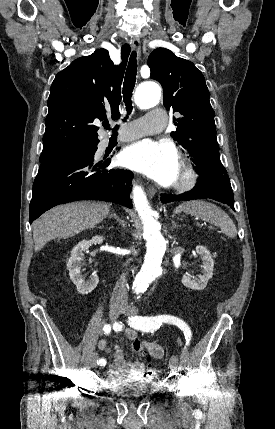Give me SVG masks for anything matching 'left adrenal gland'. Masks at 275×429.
Segmentation results:
<instances>
[{"label":"left adrenal gland","mask_w":275,"mask_h":429,"mask_svg":"<svg viewBox=\"0 0 275 429\" xmlns=\"http://www.w3.org/2000/svg\"><path fill=\"white\" fill-rule=\"evenodd\" d=\"M176 227H179V225H177V224L175 223V221H173V220H172V227H171V229L173 230V229H175Z\"/></svg>","instance_id":"obj_1"}]
</instances>
